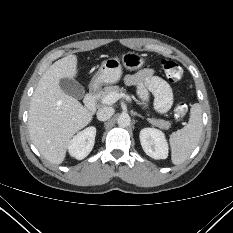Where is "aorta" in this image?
I'll use <instances>...</instances> for the list:
<instances>
[{
  "instance_id": "aorta-1",
  "label": "aorta",
  "mask_w": 233,
  "mask_h": 233,
  "mask_svg": "<svg viewBox=\"0 0 233 233\" xmlns=\"http://www.w3.org/2000/svg\"><path fill=\"white\" fill-rule=\"evenodd\" d=\"M131 119L128 114H121L117 120L119 127H128L130 125Z\"/></svg>"
}]
</instances>
